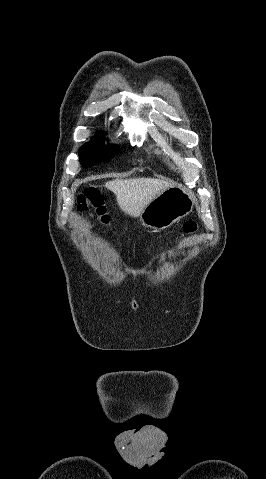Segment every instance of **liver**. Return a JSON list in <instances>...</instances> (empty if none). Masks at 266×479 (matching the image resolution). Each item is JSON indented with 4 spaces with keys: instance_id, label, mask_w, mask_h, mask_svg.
<instances>
[{
    "instance_id": "liver-1",
    "label": "liver",
    "mask_w": 266,
    "mask_h": 479,
    "mask_svg": "<svg viewBox=\"0 0 266 479\" xmlns=\"http://www.w3.org/2000/svg\"><path fill=\"white\" fill-rule=\"evenodd\" d=\"M105 186L114 192L121 210L137 217L153 199L173 185L161 179L139 177L109 181Z\"/></svg>"
}]
</instances>
